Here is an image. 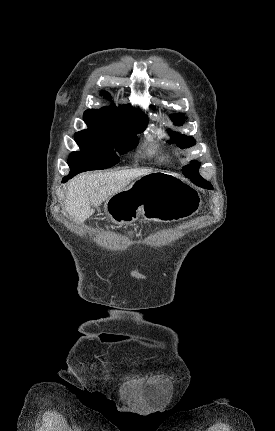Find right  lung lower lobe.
Listing matches in <instances>:
<instances>
[{"mask_svg":"<svg viewBox=\"0 0 275 431\" xmlns=\"http://www.w3.org/2000/svg\"><path fill=\"white\" fill-rule=\"evenodd\" d=\"M76 174L73 175H67L66 177H64L62 182H66L68 179L72 178L73 176H75Z\"/></svg>","mask_w":275,"mask_h":431,"instance_id":"right-lung-lower-lobe-1","label":"right lung lower lobe"}]
</instances>
